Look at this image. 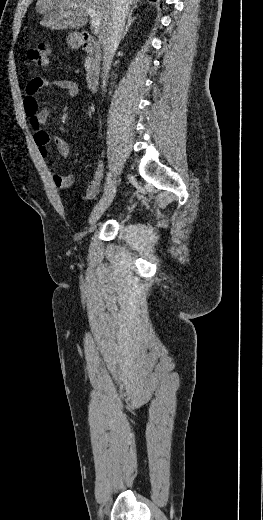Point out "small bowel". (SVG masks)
<instances>
[{
  "mask_svg": "<svg viewBox=\"0 0 263 520\" xmlns=\"http://www.w3.org/2000/svg\"><path fill=\"white\" fill-rule=\"evenodd\" d=\"M49 86L57 87L66 91V93L71 97L78 94V86L75 82L70 80L51 81L43 77L30 79L25 86L26 96L24 99V109L31 122L34 141L38 147L39 153L48 163L53 183L56 187L65 189L72 185L73 178L71 175H63L57 171L55 164L51 159L48 146L50 141L53 140L57 151L63 157L69 156L74 149L69 142L60 137L51 136L50 133L43 128V125L48 119L49 110L47 108H39L37 93L41 88ZM103 176L104 166L102 162L98 161L92 179L88 183L86 189L87 199H92L99 193Z\"/></svg>",
  "mask_w": 263,
  "mask_h": 520,
  "instance_id": "small-bowel-1",
  "label": "small bowel"
}]
</instances>
